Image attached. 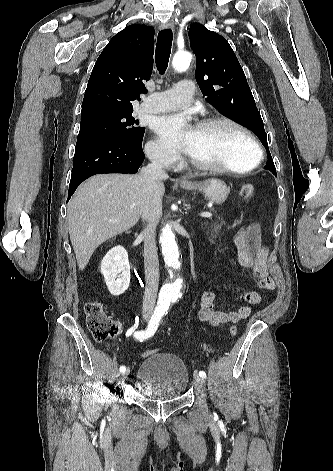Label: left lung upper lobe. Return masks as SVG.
Here are the masks:
<instances>
[{
    "label": "left lung upper lobe",
    "mask_w": 333,
    "mask_h": 471,
    "mask_svg": "<svg viewBox=\"0 0 333 471\" xmlns=\"http://www.w3.org/2000/svg\"><path fill=\"white\" fill-rule=\"evenodd\" d=\"M191 49L196 55V80L215 109L249 128L267 150L264 167L276 175L267 135L245 74L228 41L195 23L189 29Z\"/></svg>",
    "instance_id": "obj_1"
}]
</instances>
